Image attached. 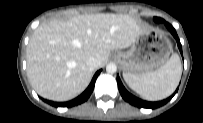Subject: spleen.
<instances>
[{
    "label": "spleen",
    "instance_id": "obj_1",
    "mask_svg": "<svg viewBox=\"0 0 203 123\" xmlns=\"http://www.w3.org/2000/svg\"><path fill=\"white\" fill-rule=\"evenodd\" d=\"M182 72L179 56L173 54L168 61L153 72L143 74L124 73L128 86L149 101H158L170 96L178 86Z\"/></svg>",
    "mask_w": 203,
    "mask_h": 123
}]
</instances>
